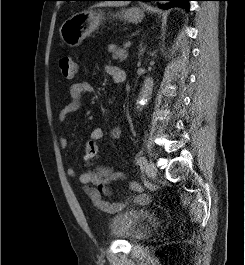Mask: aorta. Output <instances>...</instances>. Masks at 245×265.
<instances>
[{"mask_svg":"<svg viewBox=\"0 0 245 265\" xmlns=\"http://www.w3.org/2000/svg\"><path fill=\"white\" fill-rule=\"evenodd\" d=\"M153 85H154L153 78L150 76L146 77L144 82H143L139 96H138V101H137V109L138 110L141 111L143 109V107L151 99Z\"/></svg>","mask_w":245,"mask_h":265,"instance_id":"762f6f07","label":"aorta"}]
</instances>
